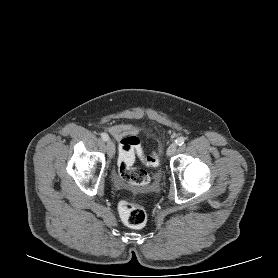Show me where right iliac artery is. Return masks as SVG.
<instances>
[{
  "label": "right iliac artery",
  "mask_w": 278,
  "mask_h": 278,
  "mask_svg": "<svg viewBox=\"0 0 278 278\" xmlns=\"http://www.w3.org/2000/svg\"><path fill=\"white\" fill-rule=\"evenodd\" d=\"M101 138H102L104 141H108V140H109V136H108V134H106V133H102V134H101Z\"/></svg>",
  "instance_id": "right-iliac-artery-1"
}]
</instances>
